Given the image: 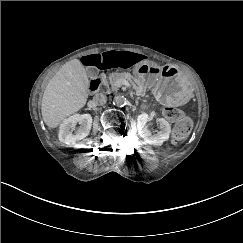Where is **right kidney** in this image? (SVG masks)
<instances>
[{"mask_svg":"<svg viewBox=\"0 0 243 243\" xmlns=\"http://www.w3.org/2000/svg\"><path fill=\"white\" fill-rule=\"evenodd\" d=\"M77 123L80 126L76 128ZM91 123L92 117L90 114H75L64 119L59 128V141L67 145H74L89 134Z\"/></svg>","mask_w":243,"mask_h":243,"instance_id":"ca27d5eb","label":"right kidney"}]
</instances>
